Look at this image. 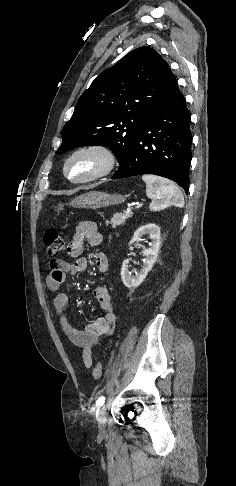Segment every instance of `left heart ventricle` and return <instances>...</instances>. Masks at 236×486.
<instances>
[{
  "label": "left heart ventricle",
  "mask_w": 236,
  "mask_h": 486,
  "mask_svg": "<svg viewBox=\"0 0 236 486\" xmlns=\"http://www.w3.org/2000/svg\"><path fill=\"white\" fill-rule=\"evenodd\" d=\"M100 159L91 153L76 156L68 166V174L73 179H81L91 175L100 167Z\"/></svg>",
  "instance_id": "1"
}]
</instances>
